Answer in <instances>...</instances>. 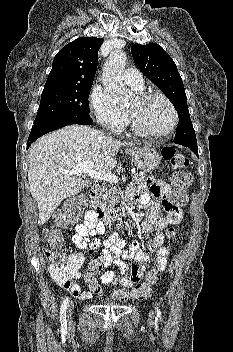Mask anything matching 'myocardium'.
<instances>
[{
	"label": "myocardium",
	"mask_w": 233,
	"mask_h": 352,
	"mask_svg": "<svg viewBox=\"0 0 233 352\" xmlns=\"http://www.w3.org/2000/svg\"><path fill=\"white\" fill-rule=\"evenodd\" d=\"M153 98H159L162 99L169 107L171 113H172V121L170 126L168 127V129L162 133H150L147 132L145 130H143L135 121L134 117L128 113V121L130 124V127L132 129V131L142 137V138H146V139H153V140H158V139H163L165 137H167L168 135H170L173 130L175 129V127L177 126L178 123V112L174 106V104L172 103V101L164 94L159 93V92H146V93H140L137 97L138 101L140 103H145Z\"/></svg>",
	"instance_id": "myocardium-1"
}]
</instances>
